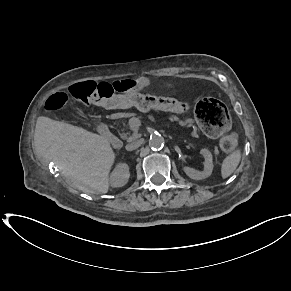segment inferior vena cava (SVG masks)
<instances>
[{"instance_id": "inferior-vena-cava-1", "label": "inferior vena cava", "mask_w": 291, "mask_h": 291, "mask_svg": "<svg viewBox=\"0 0 291 291\" xmlns=\"http://www.w3.org/2000/svg\"><path fill=\"white\" fill-rule=\"evenodd\" d=\"M142 144H143V140L139 139V140H136V141H133V142L127 144L125 146V148L128 151H132V150H135V149L139 148Z\"/></svg>"}]
</instances>
